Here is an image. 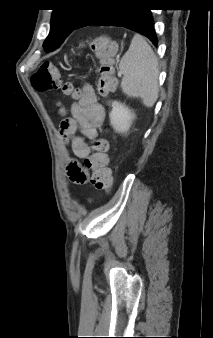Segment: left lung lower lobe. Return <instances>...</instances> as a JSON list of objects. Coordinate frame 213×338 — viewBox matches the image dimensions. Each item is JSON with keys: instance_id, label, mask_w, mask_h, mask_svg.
<instances>
[{"instance_id": "obj_1", "label": "left lung lower lobe", "mask_w": 213, "mask_h": 338, "mask_svg": "<svg viewBox=\"0 0 213 338\" xmlns=\"http://www.w3.org/2000/svg\"><path fill=\"white\" fill-rule=\"evenodd\" d=\"M138 0H109L95 6L75 29L86 26H120L146 36L155 46L158 43L150 8Z\"/></svg>"}]
</instances>
